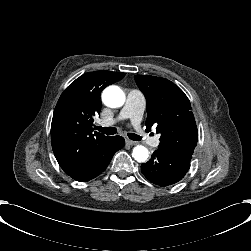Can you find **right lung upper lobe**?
Listing matches in <instances>:
<instances>
[{"instance_id": "cb5924a9", "label": "right lung upper lobe", "mask_w": 251, "mask_h": 251, "mask_svg": "<svg viewBox=\"0 0 251 251\" xmlns=\"http://www.w3.org/2000/svg\"><path fill=\"white\" fill-rule=\"evenodd\" d=\"M125 73L94 71L72 82L61 94L51 124L54 155L64 172L72 176L95 162L113 136L93 133V116L101 111L100 94Z\"/></svg>"}]
</instances>
